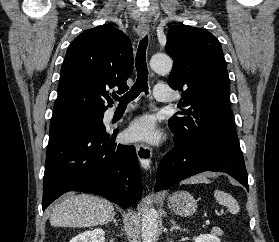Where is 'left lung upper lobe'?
<instances>
[{
  "label": "left lung upper lobe",
  "mask_w": 279,
  "mask_h": 242,
  "mask_svg": "<svg viewBox=\"0 0 279 242\" xmlns=\"http://www.w3.org/2000/svg\"><path fill=\"white\" fill-rule=\"evenodd\" d=\"M165 50L174 60L168 84L181 92L178 106L186 107L169 120L179 144H217L240 151L220 42L204 29L177 25L168 32Z\"/></svg>",
  "instance_id": "obj_1"
}]
</instances>
